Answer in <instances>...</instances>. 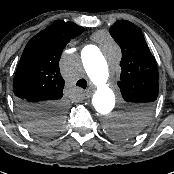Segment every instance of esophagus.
<instances>
[{
	"label": "esophagus",
	"instance_id": "1",
	"mask_svg": "<svg viewBox=\"0 0 174 174\" xmlns=\"http://www.w3.org/2000/svg\"><path fill=\"white\" fill-rule=\"evenodd\" d=\"M91 96V91L86 92V98H89Z\"/></svg>",
	"mask_w": 174,
	"mask_h": 174
}]
</instances>
